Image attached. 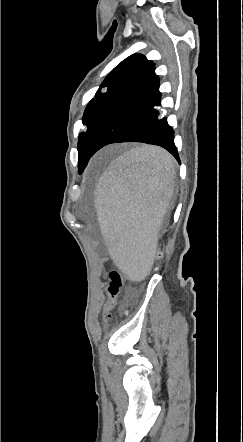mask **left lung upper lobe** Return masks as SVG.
I'll return each instance as SVG.
<instances>
[{"label": "left lung upper lobe", "mask_w": 243, "mask_h": 442, "mask_svg": "<svg viewBox=\"0 0 243 442\" xmlns=\"http://www.w3.org/2000/svg\"><path fill=\"white\" fill-rule=\"evenodd\" d=\"M154 65L144 55L133 54L119 63L100 85L82 118L86 130L80 133L78 140L79 173H82L87 165L83 156L102 120L126 94L150 75L155 69ZM102 88L104 89L101 90Z\"/></svg>", "instance_id": "1"}]
</instances>
